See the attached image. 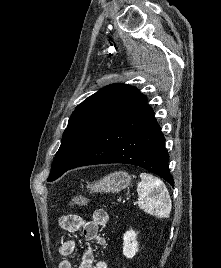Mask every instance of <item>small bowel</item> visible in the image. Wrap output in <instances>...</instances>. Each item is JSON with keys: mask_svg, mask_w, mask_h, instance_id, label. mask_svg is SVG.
I'll use <instances>...</instances> for the list:
<instances>
[{"mask_svg": "<svg viewBox=\"0 0 221 268\" xmlns=\"http://www.w3.org/2000/svg\"><path fill=\"white\" fill-rule=\"evenodd\" d=\"M109 222V215L103 209L95 210L90 220H86L79 215H66L60 219V226L68 232L82 231L84 236L90 240H95L101 245H105V239L100 235V228L105 227ZM76 243L72 239L62 242L59 246V254L63 257L72 255L75 251ZM110 263L106 258L99 259L94 263L92 252L87 251L82 259L79 268H109ZM59 268H74L69 259L61 261Z\"/></svg>", "mask_w": 221, "mask_h": 268, "instance_id": "1", "label": "small bowel"}]
</instances>
